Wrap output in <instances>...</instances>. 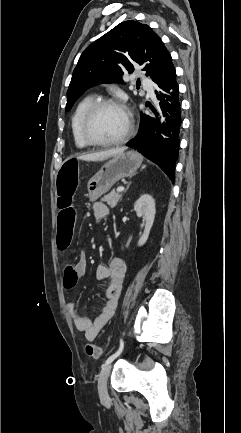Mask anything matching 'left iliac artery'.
Listing matches in <instances>:
<instances>
[{
	"mask_svg": "<svg viewBox=\"0 0 241 433\" xmlns=\"http://www.w3.org/2000/svg\"><path fill=\"white\" fill-rule=\"evenodd\" d=\"M124 348V341L123 339H120V346L119 349L113 354L111 355L106 361L105 363L102 365V368L106 367L108 364H110L115 358H117L121 352L123 351Z\"/></svg>",
	"mask_w": 241,
	"mask_h": 433,
	"instance_id": "left-iliac-artery-1",
	"label": "left iliac artery"
}]
</instances>
